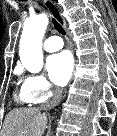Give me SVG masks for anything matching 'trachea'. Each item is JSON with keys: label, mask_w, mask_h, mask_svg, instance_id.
<instances>
[{"label": "trachea", "mask_w": 117, "mask_h": 136, "mask_svg": "<svg viewBox=\"0 0 117 136\" xmlns=\"http://www.w3.org/2000/svg\"><path fill=\"white\" fill-rule=\"evenodd\" d=\"M54 28L62 35H65V31L63 29V27L61 26V24L59 22H57L55 19H52Z\"/></svg>", "instance_id": "1"}]
</instances>
